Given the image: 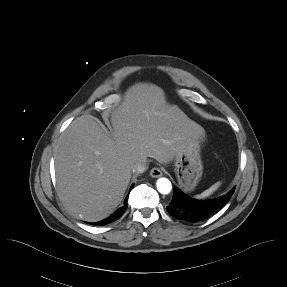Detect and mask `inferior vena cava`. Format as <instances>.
Listing matches in <instances>:
<instances>
[{"label":"inferior vena cava","instance_id":"1","mask_svg":"<svg viewBox=\"0 0 287 287\" xmlns=\"http://www.w3.org/2000/svg\"><path fill=\"white\" fill-rule=\"evenodd\" d=\"M147 169V163L146 160H143L141 162H137L132 166L133 173L141 174Z\"/></svg>","mask_w":287,"mask_h":287}]
</instances>
